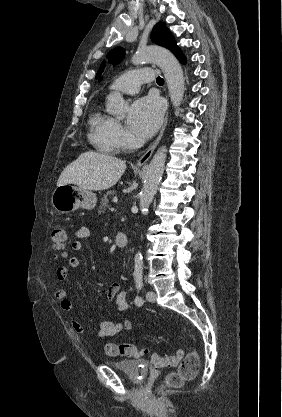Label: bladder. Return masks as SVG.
Instances as JSON below:
<instances>
[{
  "instance_id": "1",
  "label": "bladder",
  "mask_w": 282,
  "mask_h": 417,
  "mask_svg": "<svg viewBox=\"0 0 282 417\" xmlns=\"http://www.w3.org/2000/svg\"><path fill=\"white\" fill-rule=\"evenodd\" d=\"M121 371L132 383H142L150 373V364L145 359H128L108 362Z\"/></svg>"
}]
</instances>
